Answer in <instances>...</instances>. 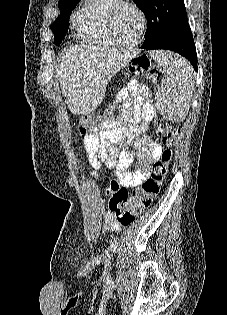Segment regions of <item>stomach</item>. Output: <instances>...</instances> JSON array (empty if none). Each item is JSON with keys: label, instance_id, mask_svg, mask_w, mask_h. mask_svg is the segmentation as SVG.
<instances>
[{"label": "stomach", "instance_id": "stomach-1", "mask_svg": "<svg viewBox=\"0 0 227 315\" xmlns=\"http://www.w3.org/2000/svg\"><path fill=\"white\" fill-rule=\"evenodd\" d=\"M106 85H109V82H106Z\"/></svg>", "mask_w": 227, "mask_h": 315}]
</instances>
